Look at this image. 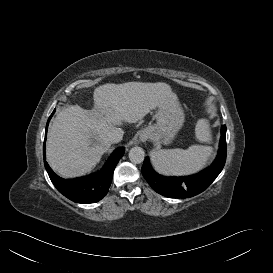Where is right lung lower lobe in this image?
I'll return each instance as SVG.
<instances>
[{"label": "right lung lower lobe", "mask_w": 273, "mask_h": 273, "mask_svg": "<svg viewBox=\"0 0 273 273\" xmlns=\"http://www.w3.org/2000/svg\"><path fill=\"white\" fill-rule=\"evenodd\" d=\"M54 112L55 110L53 111V113ZM53 113L51 114V116L53 115ZM50 118L48 119L46 125L45 140L43 146L44 160L45 141ZM124 152V147L118 148L113 152V154L108 159L100 172L75 179H63L52 171L46 161H44V165L52 183L54 184L56 189L65 197L76 203H95L101 200L107 194L112 181L114 169L118 161L123 156Z\"/></svg>", "instance_id": "98d812e1"}]
</instances>
